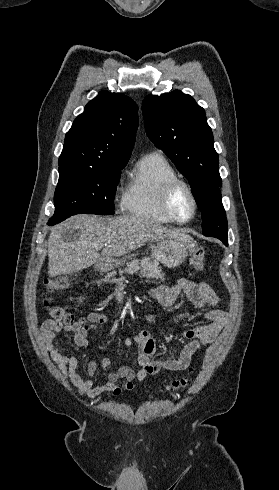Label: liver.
Segmentation results:
<instances>
[{
  "instance_id": "6515ba94",
  "label": "liver",
  "mask_w": 279,
  "mask_h": 490,
  "mask_svg": "<svg viewBox=\"0 0 279 490\" xmlns=\"http://www.w3.org/2000/svg\"><path fill=\"white\" fill-rule=\"evenodd\" d=\"M80 230V240L64 242L63 230ZM185 240L189 248H194L191 236L185 230H168L146 218L120 216V218H97V216H72L66 222L53 228L48 238V268L50 278L71 274L95 266L103 270L104 262L125 256L138 250L145 242H165V240ZM98 250H102L99 254Z\"/></svg>"
}]
</instances>
